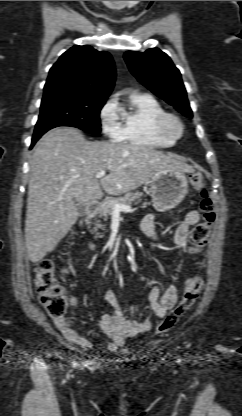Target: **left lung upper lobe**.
I'll use <instances>...</instances> for the list:
<instances>
[{
  "instance_id": "1",
  "label": "left lung upper lobe",
  "mask_w": 242,
  "mask_h": 416,
  "mask_svg": "<svg viewBox=\"0 0 242 416\" xmlns=\"http://www.w3.org/2000/svg\"><path fill=\"white\" fill-rule=\"evenodd\" d=\"M124 59L132 74L158 97L192 118L180 71L170 57L158 48L146 52L127 51Z\"/></svg>"
}]
</instances>
